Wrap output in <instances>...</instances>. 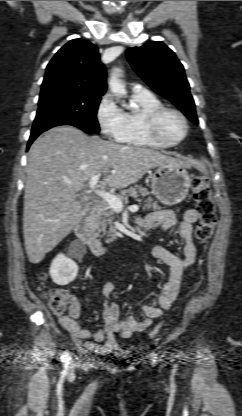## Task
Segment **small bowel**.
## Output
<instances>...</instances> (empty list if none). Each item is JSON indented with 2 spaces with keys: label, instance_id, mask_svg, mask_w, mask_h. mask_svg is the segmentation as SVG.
I'll return each mask as SVG.
<instances>
[{
  "label": "small bowel",
  "instance_id": "obj_1",
  "mask_svg": "<svg viewBox=\"0 0 242 416\" xmlns=\"http://www.w3.org/2000/svg\"><path fill=\"white\" fill-rule=\"evenodd\" d=\"M197 218L195 210L186 211L182 219H178L171 210H159L149 213L140 220L141 227L148 231L167 232L169 240L177 235L183 243V257L172 253L164 246L159 245L153 248V256L168 266L169 278L157 299L142 306L143 316L141 319L132 317L120 319L119 306L111 300L115 291V284L112 281H106L102 287L105 298L103 327L97 331H90L78 325L76 320L81 316V306L75 298L70 297L69 315L61 316L58 320L60 325L70 334L72 340L89 352L102 355L110 354L118 346L116 335L129 338L134 333L143 332L152 325L154 319L169 310L179 293L184 272L194 264L196 259L192 226Z\"/></svg>",
  "mask_w": 242,
  "mask_h": 416
}]
</instances>
